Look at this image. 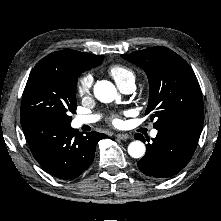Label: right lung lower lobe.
I'll return each instance as SVG.
<instances>
[{
	"label": "right lung lower lobe",
	"instance_id": "98d812e1",
	"mask_svg": "<svg viewBox=\"0 0 221 221\" xmlns=\"http://www.w3.org/2000/svg\"><path fill=\"white\" fill-rule=\"evenodd\" d=\"M21 125L35 159L60 179L81 175L93 162L98 141L107 137L94 131L83 136L70 124L44 118L26 117Z\"/></svg>",
	"mask_w": 221,
	"mask_h": 221
}]
</instances>
